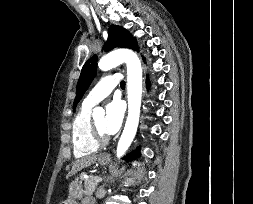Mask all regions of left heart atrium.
<instances>
[{"mask_svg": "<svg viewBox=\"0 0 253 204\" xmlns=\"http://www.w3.org/2000/svg\"><path fill=\"white\" fill-rule=\"evenodd\" d=\"M124 117V109L120 101L113 100L106 107L105 132L115 134L121 127Z\"/></svg>", "mask_w": 253, "mask_h": 204, "instance_id": "left-heart-atrium-1", "label": "left heart atrium"}]
</instances>
